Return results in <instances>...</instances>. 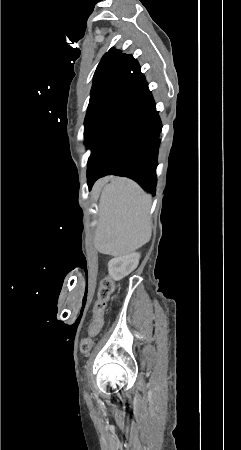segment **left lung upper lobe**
Instances as JSON below:
<instances>
[{
    "instance_id": "obj_1",
    "label": "left lung upper lobe",
    "mask_w": 241,
    "mask_h": 450,
    "mask_svg": "<svg viewBox=\"0 0 241 450\" xmlns=\"http://www.w3.org/2000/svg\"><path fill=\"white\" fill-rule=\"evenodd\" d=\"M131 55L111 48L99 62L93 78L84 120V134L87 136L98 114L107 107L120 92L125 81V69L131 60Z\"/></svg>"
}]
</instances>
